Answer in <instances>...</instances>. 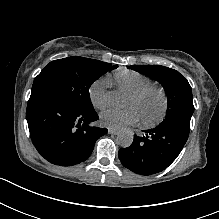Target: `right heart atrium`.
Instances as JSON below:
<instances>
[{
    "label": "right heart atrium",
    "instance_id": "d8ad5b80",
    "mask_svg": "<svg viewBox=\"0 0 219 219\" xmlns=\"http://www.w3.org/2000/svg\"><path fill=\"white\" fill-rule=\"evenodd\" d=\"M87 94L91 104L95 108H105L109 102L106 79H97L93 81L87 89Z\"/></svg>",
    "mask_w": 219,
    "mask_h": 219
}]
</instances>
